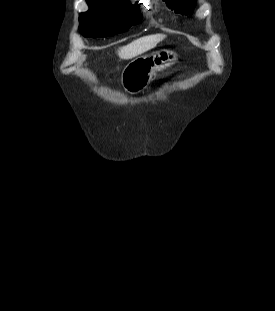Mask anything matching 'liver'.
Returning a JSON list of instances; mask_svg holds the SVG:
<instances>
[{
	"instance_id": "liver-1",
	"label": "liver",
	"mask_w": 275,
	"mask_h": 311,
	"mask_svg": "<svg viewBox=\"0 0 275 311\" xmlns=\"http://www.w3.org/2000/svg\"><path fill=\"white\" fill-rule=\"evenodd\" d=\"M166 36L164 34H153L145 37H141L135 41H132L126 46L118 49V56L120 59L128 60L137 57L154 48L160 41Z\"/></svg>"
}]
</instances>
